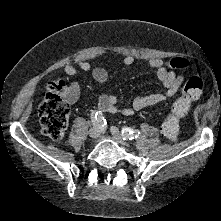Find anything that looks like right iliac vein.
Segmentation results:
<instances>
[{"mask_svg":"<svg viewBox=\"0 0 221 221\" xmlns=\"http://www.w3.org/2000/svg\"><path fill=\"white\" fill-rule=\"evenodd\" d=\"M89 136H90L92 139L98 138V136H99V130H98L97 128H92V129H90V131H89Z\"/></svg>","mask_w":221,"mask_h":221,"instance_id":"63e3f726","label":"right iliac vein"}]
</instances>
